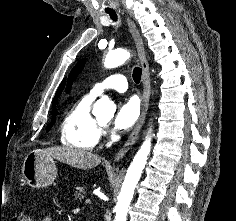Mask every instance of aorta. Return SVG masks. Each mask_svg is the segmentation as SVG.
Masks as SVG:
<instances>
[{
    "label": "aorta",
    "mask_w": 236,
    "mask_h": 221,
    "mask_svg": "<svg viewBox=\"0 0 236 221\" xmlns=\"http://www.w3.org/2000/svg\"><path fill=\"white\" fill-rule=\"evenodd\" d=\"M129 58L130 53L125 49L110 51L106 55L104 66L106 68H115L122 65ZM115 111V104L109 99L108 96H103L96 101L92 113L97 118H112ZM150 149L151 137L147 136L127 170L120 194L118 196V202L115 206L116 216L114 221H126L128 208L133 198L135 187L147 163V157L150 153Z\"/></svg>",
    "instance_id": "762f6f07"
}]
</instances>
